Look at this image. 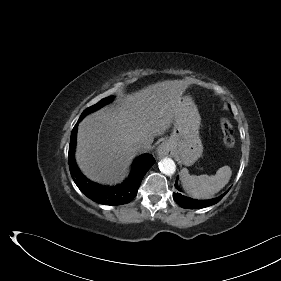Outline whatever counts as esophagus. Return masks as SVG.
I'll use <instances>...</instances> for the list:
<instances>
[{
	"label": "esophagus",
	"instance_id": "esophagus-1",
	"mask_svg": "<svg viewBox=\"0 0 281 281\" xmlns=\"http://www.w3.org/2000/svg\"><path fill=\"white\" fill-rule=\"evenodd\" d=\"M156 153L159 157L169 156L171 154V148L168 143L163 142L157 147Z\"/></svg>",
	"mask_w": 281,
	"mask_h": 281
}]
</instances>
